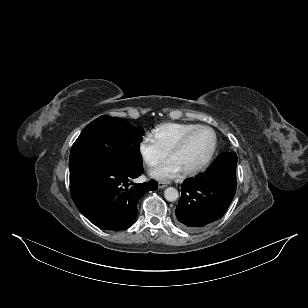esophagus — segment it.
<instances>
[{"label": "esophagus", "instance_id": "34e87169", "mask_svg": "<svg viewBox=\"0 0 308 308\" xmlns=\"http://www.w3.org/2000/svg\"><path fill=\"white\" fill-rule=\"evenodd\" d=\"M169 185L168 182H158V188L163 189Z\"/></svg>", "mask_w": 308, "mask_h": 308}]
</instances>
